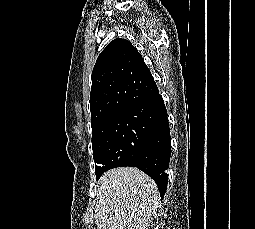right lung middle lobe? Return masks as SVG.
Here are the masks:
<instances>
[{"mask_svg": "<svg viewBox=\"0 0 255 229\" xmlns=\"http://www.w3.org/2000/svg\"><path fill=\"white\" fill-rule=\"evenodd\" d=\"M143 119L123 110L105 120L92 132L97 180L109 169L130 166L139 157L148 134Z\"/></svg>", "mask_w": 255, "mask_h": 229, "instance_id": "1", "label": "right lung middle lobe"}]
</instances>
